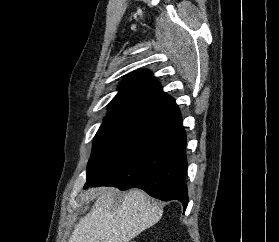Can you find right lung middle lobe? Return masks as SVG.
<instances>
[{
    "instance_id": "right-lung-middle-lobe-1",
    "label": "right lung middle lobe",
    "mask_w": 279,
    "mask_h": 242,
    "mask_svg": "<svg viewBox=\"0 0 279 242\" xmlns=\"http://www.w3.org/2000/svg\"><path fill=\"white\" fill-rule=\"evenodd\" d=\"M161 125V117L145 113L108 114L93 142L87 179H97L149 138Z\"/></svg>"
}]
</instances>
